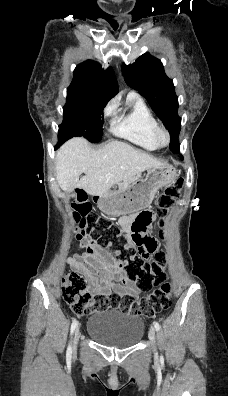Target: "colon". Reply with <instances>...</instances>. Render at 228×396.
I'll list each match as a JSON object with an SVG mask.
<instances>
[{"label":"colon","mask_w":228,"mask_h":396,"mask_svg":"<svg viewBox=\"0 0 228 396\" xmlns=\"http://www.w3.org/2000/svg\"><path fill=\"white\" fill-rule=\"evenodd\" d=\"M184 179L179 178L173 184L166 186L157 198L155 213L143 211L134 219L131 226V240L135 247L124 246L116 248L109 246V256L124 268L127 278L134 282L142 291L156 288L147 296L136 299L130 293L93 296L88 291L86 280L78 273L69 272L62 278V294L72 311L78 315H87L109 309H119L123 312L141 314L152 317L167 309L171 304V288L168 283H160L165 267L166 257L158 250L156 241L148 236L155 216L164 219L180 196ZM74 219L79 228L76 239L95 240L100 247L106 245L104 232L113 233L115 228L105 219L91 213V204L83 190L76 192L74 201ZM154 254V259L150 256Z\"/></svg>","instance_id":"1"}]
</instances>
